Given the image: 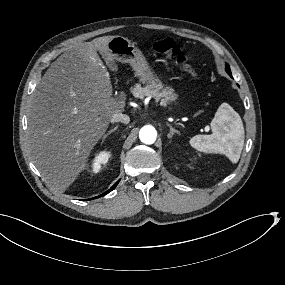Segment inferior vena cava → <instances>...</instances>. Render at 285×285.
<instances>
[{"mask_svg":"<svg viewBox=\"0 0 285 285\" xmlns=\"http://www.w3.org/2000/svg\"><path fill=\"white\" fill-rule=\"evenodd\" d=\"M111 122L115 123V122H122V123H128L129 122V117L125 114L122 113H114L112 118H111Z\"/></svg>","mask_w":285,"mask_h":285,"instance_id":"obj_1","label":"inferior vena cava"}]
</instances>
